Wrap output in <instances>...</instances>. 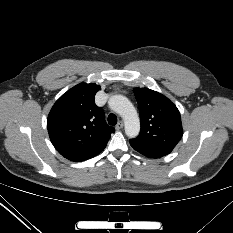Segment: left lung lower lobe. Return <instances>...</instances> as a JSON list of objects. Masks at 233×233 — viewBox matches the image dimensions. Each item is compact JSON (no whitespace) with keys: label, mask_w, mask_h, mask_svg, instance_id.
<instances>
[{"label":"left lung lower lobe","mask_w":233,"mask_h":233,"mask_svg":"<svg viewBox=\"0 0 233 233\" xmlns=\"http://www.w3.org/2000/svg\"><path fill=\"white\" fill-rule=\"evenodd\" d=\"M130 145L132 146L133 149H135L137 152L141 153L142 155L144 156H147L149 158H160L162 156L160 155H156V154H153L145 149H142L141 147H139L138 145H136L134 142H132L130 140Z\"/></svg>","instance_id":"left-lung-lower-lobe-1"}]
</instances>
